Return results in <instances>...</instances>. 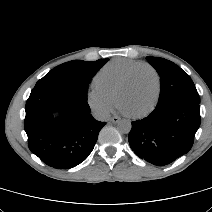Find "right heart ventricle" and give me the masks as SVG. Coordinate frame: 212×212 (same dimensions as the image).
I'll return each mask as SVG.
<instances>
[{
  "mask_svg": "<svg viewBox=\"0 0 212 212\" xmlns=\"http://www.w3.org/2000/svg\"><path fill=\"white\" fill-rule=\"evenodd\" d=\"M142 63L129 59H115L104 66L95 78L96 85L115 97L129 72Z\"/></svg>",
  "mask_w": 212,
  "mask_h": 212,
  "instance_id": "e07e8e85",
  "label": "right heart ventricle"
}]
</instances>
